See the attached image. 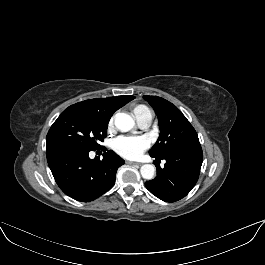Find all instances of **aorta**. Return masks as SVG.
<instances>
[{"instance_id": "aorta-1", "label": "aorta", "mask_w": 265, "mask_h": 265, "mask_svg": "<svg viewBox=\"0 0 265 265\" xmlns=\"http://www.w3.org/2000/svg\"><path fill=\"white\" fill-rule=\"evenodd\" d=\"M115 126L121 132H128L135 126V121L126 113H118L115 117ZM144 179L150 180L154 177L155 167L151 164H144L140 168Z\"/></svg>"}]
</instances>
